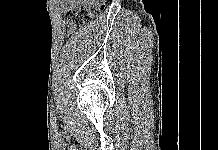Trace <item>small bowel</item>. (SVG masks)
Wrapping results in <instances>:
<instances>
[{
	"mask_svg": "<svg viewBox=\"0 0 218 150\" xmlns=\"http://www.w3.org/2000/svg\"><path fill=\"white\" fill-rule=\"evenodd\" d=\"M62 1H63V8L67 10V9L76 8L77 6L87 7L94 4L97 0H62Z\"/></svg>",
	"mask_w": 218,
	"mask_h": 150,
	"instance_id": "obj_1",
	"label": "small bowel"
}]
</instances>
